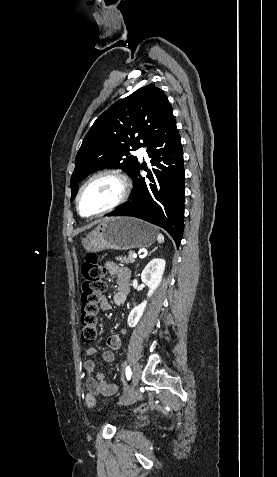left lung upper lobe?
<instances>
[{
	"label": "left lung upper lobe",
	"instance_id": "1",
	"mask_svg": "<svg viewBox=\"0 0 277 477\" xmlns=\"http://www.w3.org/2000/svg\"><path fill=\"white\" fill-rule=\"evenodd\" d=\"M173 117L167 97L154 84L114 103L96 119L76 155L71 201L78 184L98 169L120 168L132 177L140 163L137 157L129 156V151L146 146Z\"/></svg>",
	"mask_w": 277,
	"mask_h": 477
}]
</instances>
